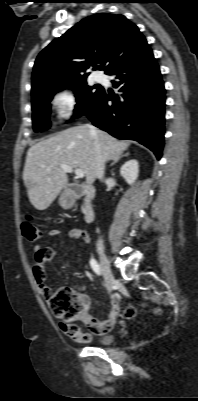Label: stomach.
Returning <instances> with one entry per match:
<instances>
[{
    "mask_svg": "<svg viewBox=\"0 0 198 401\" xmlns=\"http://www.w3.org/2000/svg\"><path fill=\"white\" fill-rule=\"evenodd\" d=\"M74 201L73 199L65 193H62L59 197V204L62 208L68 209L72 207Z\"/></svg>",
    "mask_w": 198,
    "mask_h": 401,
    "instance_id": "obj_1",
    "label": "stomach"
}]
</instances>
